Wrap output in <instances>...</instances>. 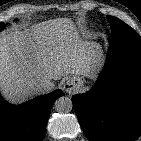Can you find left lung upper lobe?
I'll list each match as a JSON object with an SVG mask.
<instances>
[{"label": "left lung upper lobe", "instance_id": "5c2ea615", "mask_svg": "<svg viewBox=\"0 0 141 141\" xmlns=\"http://www.w3.org/2000/svg\"><path fill=\"white\" fill-rule=\"evenodd\" d=\"M108 19L111 23L112 35L114 41L124 42V41H133L141 42V37L136 33L134 29L130 26L119 20L118 18L108 16Z\"/></svg>", "mask_w": 141, "mask_h": 141}]
</instances>
